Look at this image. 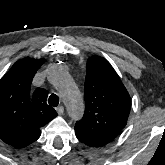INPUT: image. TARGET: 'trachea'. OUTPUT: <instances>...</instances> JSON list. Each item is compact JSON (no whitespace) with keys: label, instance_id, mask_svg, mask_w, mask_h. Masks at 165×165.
<instances>
[{"label":"trachea","instance_id":"1","mask_svg":"<svg viewBox=\"0 0 165 165\" xmlns=\"http://www.w3.org/2000/svg\"><path fill=\"white\" fill-rule=\"evenodd\" d=\"M48 103L53 107H57L59 104V97L56 94H51Z\"/></svg>","mask_w":165,"mask_h":165}]
</instances>
